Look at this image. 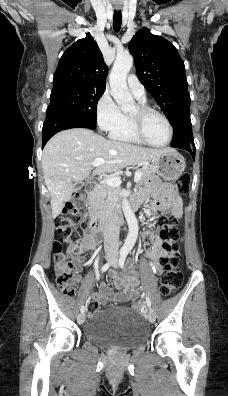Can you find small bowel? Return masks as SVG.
<instances>
[{"instance_id": "c3829d8e", "label": "small bowel", "mask_w": 228, "mask_h": 396, "mask_svg": "<svg viewBox=\"0 0 228 396\" xmlns=\"http://www.w3.org/2000/svg\"><path fill=\"white\" fill-rule=\"evenodd\" d=\"M144 191H149L154 196L158 205L171 206L173 215L178 221L182 216V202L177 192H175L170 184L160 183L155 181L150 187H144ZM142 197L136 196L132 198V203L141 204ZM145 241H152V248L146 253V257L150 260L153 269L160 271L159 259L164 254L162 248V240L155 236L152 231L144 232ZM98 244V234L93 228L87 229L84 232L83 238L76 244L71 245L67 249V254L71 258L75 266L80 267L83 263L82 255L90 250L96 248ZM114 285L119 289V292L114 293L104 282L99 285V291L93 294V298L100 304H107L110 301H136L139 296V292L136 289L138 283L137 275L134 272H130L126 276L118 275L115 272L109 274ZM134 307L144 310L143 302L139 301L134 304Z\"/></svg>"}]
</instances>
